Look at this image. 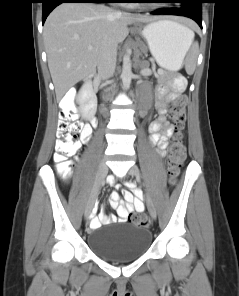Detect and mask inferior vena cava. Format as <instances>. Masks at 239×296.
I'll return each mask as SVG.
<instances>
[{
	"instance_id": "inferior-vena-cava-1",
	"label": "inferior vena cava",
	"mask_w": 239,
	"mask_h": 296,
	"mask_svg": "<svg viewBox=\"0 0 239 296\" xmlns=\"http://www.w3.org/2000/svg\"><path fill=\"white\" fill-rule=\"evenodd\" d=\"M120 12H118L119 14ZM117 45L111 44L104 47L98 57V73L102 80H107L114 75L116 68Z\"/></svg>"
}]
</instances>
